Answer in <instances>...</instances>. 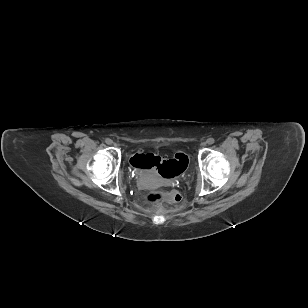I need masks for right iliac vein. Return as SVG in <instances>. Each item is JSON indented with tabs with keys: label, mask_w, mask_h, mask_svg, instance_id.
<instances>
[{
	"label": "right iliac vein",
	"mask_w": 308,
	"mask_h": 308,
	"mask_svg": "<svg viewBox=\"0 0 308 308\" xmlns=\"http://www.w3.org/2000/svg\"><path fill=\"white\" fill-rule=\"evenodd\" d=\"M111 144H114V145H116V144H115V143H113V142H112ZM111 144H110V145H111Z\"/></svg>",
	"instance_id": "63e3f726"
}]
</instances>
